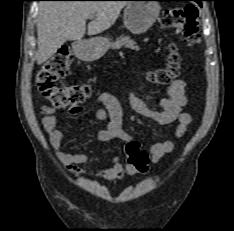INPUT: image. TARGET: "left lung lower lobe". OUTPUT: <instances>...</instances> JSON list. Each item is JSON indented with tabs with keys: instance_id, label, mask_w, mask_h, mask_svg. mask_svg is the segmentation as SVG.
Instances as JSON below:
<instances>
[{
	"instance_id": "0a47b994",
	"label": "left lung lower lobe",
	"mask_w": 234,
	"mask_h": 231,
	"mask_svg": "<svg viewBox=\"0 0 234 231\" xmlns=\"http://www.w3.org/2000/svg\"><path fill=\"white\" fill-rule=\"evenodd\" d=\"M186 1H195V2H197L200 6H202L201 1H205V0H186Z\"/></svg>"
}]
</instances>
